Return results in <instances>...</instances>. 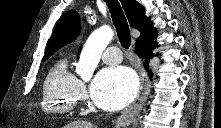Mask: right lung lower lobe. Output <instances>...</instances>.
<instances>
[{
    "instance_id": "98d812e1",
    "label": "right lung lower lobe",
    "mask_w": 221,
    "mask_h": 128,
    "mask_svg": "<svg viewBox=\"0 0 221 128\" xmlns=\"http://www.w3.org/2000/svg\"><path fill=\"white\" fill-rule=\"evenodd\" d=\"M157 43L153 41L150 42H139L136 41V52L138 56L144 58L146 62L144 63V67L147 69L149 72V76H151V71L148 69V64L147 62L151 57L154 56L153 50L156 48ZM158 54V53H157Z\"/></svg>"
}]
</instances>
